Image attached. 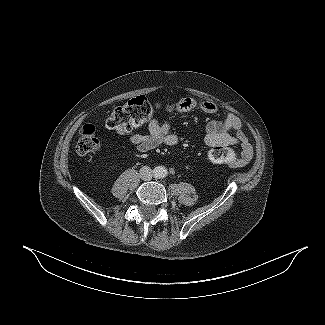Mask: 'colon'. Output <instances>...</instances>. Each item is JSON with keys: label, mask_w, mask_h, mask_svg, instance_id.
Wrapping results in <instances>:
<instances>
[{"label": "colon", "mask_w": 325, "mask_h": 325, "mask_svg": "<svg viewBox=\"0 0 325 325\" xmlns=\"http://www.w3.org/2000/svg\"><path fill=\"white\" fill-rule=\"evenodd\" d=\"M160 113V106L150 102L146 96H137L115 107L106 121L109 129L118 133H126L134 127L151 123ZM100 149V141L96 136L95 126L84 125L79 133L76 151L80 155L94 153ZM213 164L235 165L237 158L234 150L225 145L212 147L207 153Z\"/></svg>", "instance_id": "obj_1"}]
</instances>
